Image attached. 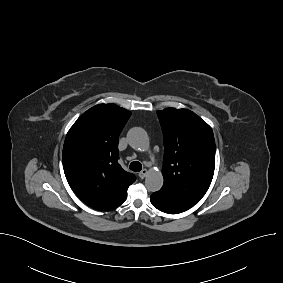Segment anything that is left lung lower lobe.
<instances>
[{
	"mask_svg": "<svg viewBox=\"0 0 283 283\" xmlns=\"http://www.w3.org/2000/svg\"><path fill=\"white\" fill-rule=\"evenodd\" d=\"M150 201L154 207L168 214H178L188 209L163 189L154 192L151 195Z\"/></svg>",
	"mask_w": 283,
	"mask_h": 283,
	"instance_id": "0a47b994",
	"label": "left lung lower lobe"
}]
</instances>
